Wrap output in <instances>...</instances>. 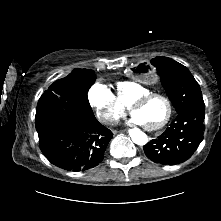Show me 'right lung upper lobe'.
Returning a JSON list of instances; mask_svg holds the SVG:
<instances>
[{"mask_svg":"<svg viewBox=\"0 0 221 221\" xmlns=\"http://www.w3.org/2000/svg\"><path fill=\"white\" fill-rule=\"evenodd\" d=\"M82 70H86V69H79V68L74 69V70L71 72V75H74V74H76L77 72L82 71Z\"/></svg>","mask_w":221,"mask_h":221,"instance_id":"cb5924a9","label":"right lung upper lobe"}]
</instances>
